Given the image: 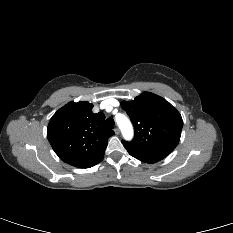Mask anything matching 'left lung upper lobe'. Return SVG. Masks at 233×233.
Wrapping results in <instances>:
<instances>
[{"mask_svg":"<svg viewBox=\"0 0 233 233\" xmlns=\"http://www.w3.org/2000/svg\"><path fill=\"white\" fill-rule=\"evenodd\" d=\"M135 130L131 142L122 141L125 148L135 152L170 154L178 145L183 120L179 112L165 99L144 92L133 101H122Z\"/></svg>","mask_w":233,"mask_h":233,"instance_id":"left-lung-upper-lobe-1","label":"left lung upper lobe"}]
</instances>
